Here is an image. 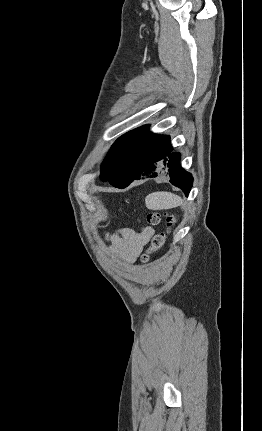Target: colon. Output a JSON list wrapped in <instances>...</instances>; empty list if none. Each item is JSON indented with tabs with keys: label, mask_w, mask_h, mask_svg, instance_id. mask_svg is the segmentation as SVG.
Instances as JSON below:
<instances>
[{
	"label": "colon",
	"mask_w": 262,
	"mask_h": 431,
	"mask_svg": "<svg viewBox=\"0 0 262 431\" xmlns=\"http://www.w3.org/2000/svg\"><path fill=\"white\" fill-rule=\"evenodd\" d=\"M146 220L150 225H158L161 220V215L158 212H152L148 214ZM166 221L168 227H171L175 222L174 218L170 215L167 216ZM165 240L166 233L162 232L155 234L152 239L151 247L144 253L143 258L148 260L153 252L161 250L165 244Z\"/></svg>",
	"instance_id": "1"
}]
</instances>
